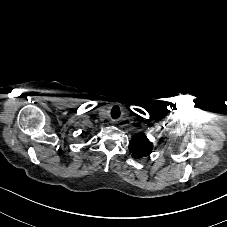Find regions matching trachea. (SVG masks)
Here are the masks:
<instances>
[{
	"label": "trachea",
	"instance_id": "obj_1",
	"mask_svg": "<svg viewBox=\"0 0 227 227\" xmlns=\"http://www.w3.org/2000/svg\"><path fill=\"white\" fill-rule=\"evenodd\" d=\"M111 116L113 119H117L120 116V108L118 106H114L112 108Z\"/></svg>",
	"mask_w": 227,
	"mask_h": 227
}]
</instances>
